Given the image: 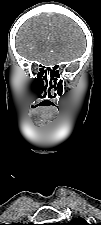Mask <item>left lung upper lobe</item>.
Returning <instances> with one entry per match:
<instances>
[{
	"instance_id": "5c2ea615",
	"label": "left lung upper lobe",
	"mask_w": 101,
	"mask_h": 225,
	"mask_svg": "<svg viewBox=\"0 0 101 225\" xmlns=\"http://www.w3.org/2000/svg\"><path fill=\"white\" fill-rule=\"evenodd\" d=\"M58 225H90L83 218H75L72 221Z\"/></svg>"
}]
</instances>
